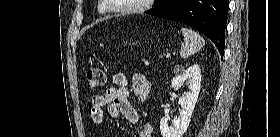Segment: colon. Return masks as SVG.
Instances as JSON below:
<instances>
[{
  "label": "colon",
  "mask_w": 280,
  "mask_h": 137,
  "mask_svg": "<svg viewBox=\"0 0 280 137\" xmlns=\"http://www.w3.org/2000/svg\"><path fill=\"white\" fill-rule=\"evenodd\" d=\"M106 82V75L103 69L95 67L86 72V86L90 91L99 90Z\"/></svg>",
  "instance_id": "colon-1"
}]
</instances>
